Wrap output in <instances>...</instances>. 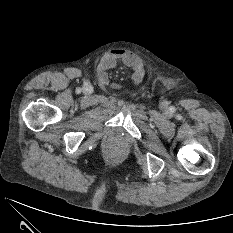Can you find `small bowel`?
Instances as JSON below:
<instances>
[{"label": "small bowel", "instance_id": "1", "mask_svg": "<svg viewBox=\"0 0 233 233\" xmlns=\"http://www.w3.org/2000/svg\"><path fill=\"white\" fill-rule=\"evenodd\" d=\"M118 61H122L133 70L132 82L135 85L143 81L145 70L142 61L134 53L126 49H114L108 52L99 63L98 69L101 73H105L114 68ZM114 87L117 88L119 86L114 85Z\"/></svg>", "mask_w": 233, "mask_h": 233}]
</instances>
